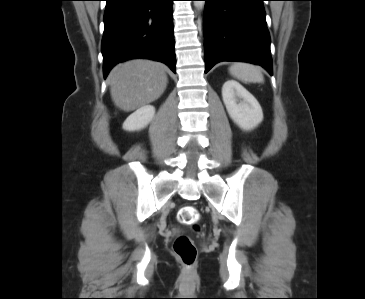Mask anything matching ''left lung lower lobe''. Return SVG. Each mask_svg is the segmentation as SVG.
Returning a JSON list of instances; mask_svg holds the SVG:
<instances>
[{
	"label": "left lung lower lobe",
	"mask_w": 365,
	"mask_h": 299,
	"mask_svg": "<svg viewBox=\"0 0 365 299\" xmlns=\"http://www.w3.org/2000/svg\"><path fill=\"white\" fill-rule=\"evenodd\" d=\"M205 73L222 61L249 62L272 75L264 0H203Z\"/></svg>",
	"instance_id": "obj_1"
}]
</instances>
